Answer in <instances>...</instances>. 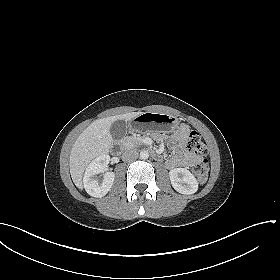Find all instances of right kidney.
<instances>
[{"label":"right kidney","mask_w":280,"mask_h":280,"mask_svg":"<svg viewBox=\"0 0 280 280\" xmlns=\"http://www.w3.org/2000/svg\"><path fill=\"white\" fill-rule=\"evenodd\" d=\"M109 161L110 157L103 154L93 160L86 168L83 183L86 192L90 196L101 198L110 191L115 174L113 172H106L101 183H99L97 178L98 174L103 173L106 170Z\"/></svg>","instance_id":"right-kidney-1"}]
</instances>
